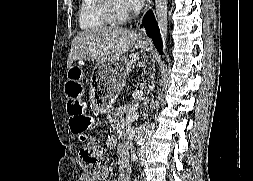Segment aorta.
I'll return each instance as SVG.
<instances>
[{
    "label": "aorta",
    "mask_w": 253,
    "mask_h": 181,
    "mask_svg": "<svg viewBox=\"0 0 253 181\" xmlns=\"http://www.w3.org/2000/svg\"><path fill=\"white\" fill-rule=\"evenodd\" d=\"M155 3V16L157 19L161 39H162V57H166V52H167V37H168V20H167V0H154ZM164 61L161 62V70L164 69ZM150 116L152 115L151 113L149 114ZM150 123L152 122L151 120L149 121ZM150 124H147L145 127V140L147 139V130L150 127ZM143 141V145L140 147V152H139V157H146L147 155V149H150V144L148 142Z\"/></svg>",
    "instance_id": "obj_1"
}]
</instances>
